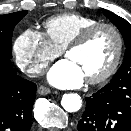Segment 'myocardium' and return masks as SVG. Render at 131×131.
Segmentation results:
<instances>
[{
  "mask_svg": "<svg viewBox=\"0 0 131 131\" xmlns=\"http://www.w3.org/2000/svg\"><path fill=\"white\" fill-rule=\"evenodd\" d=\"M110 29L116 36L117 48L113 61L109 67L99 74L98 76L86 79V82L91 85L100 84L107 81L118 69L123 52H124V38L120 29L112 23H97L86 29H84L77 37H75L63 50L64 56H66L72 50L78 49L84 46L90 38L100 29Z\"/></svg>",
  "mask_w": 131,
  "mask_h": 131,
  "instance_id": "myocardium-1",
  "label": "myocardium"
}]
</instances>
